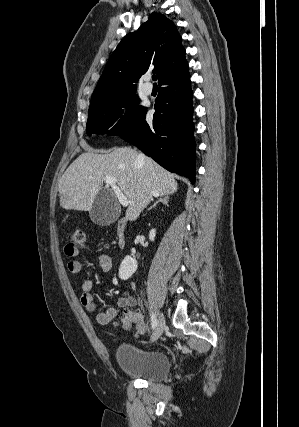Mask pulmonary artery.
<instances>
[{
    "instance_id": "obj_1",
    "label": "pulmonary artery",
    "mask_w": 299,
    "mask_h": 427,
    "mask_svg": "<svg viewBox=\"0 0 299 427\" xmlns=\"http://www.w3.org/2000/svg\"><path fill=\"white\" fill-rule=\"evenodd\" d=\"M144 80H145V82L143 84V91H144L145 94L150 95L152 93V91H153V87H152V85L149 82L150 77L146 76L144 78Z\"/></svg>"
}]
</instances>
